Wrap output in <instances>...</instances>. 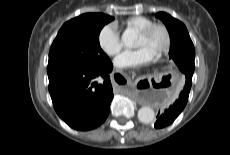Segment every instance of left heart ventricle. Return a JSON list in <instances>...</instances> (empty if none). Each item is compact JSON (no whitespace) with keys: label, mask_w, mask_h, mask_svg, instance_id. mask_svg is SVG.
Wrapping results in <instances>:
<instances>
[{"label":"left heart ventricle","mask_w":230,"mask_h":155,"mask_svg":"<svg viewBox=\"0 0 230 155\" xmlns=\"http://www.w3.org/2000/svg\"><path fill=\"white\" fill-rule=\"evenodd\" d=\"M165 43V35L161 30H155L149 37H142L138 35L136 47H147L156 56Z\"/></svg>","instance_id":"b2bd125f"}]
</instances>
